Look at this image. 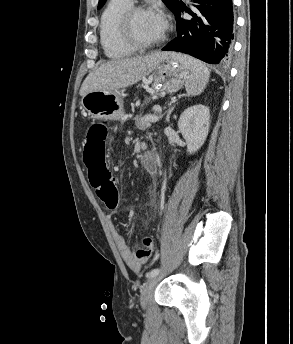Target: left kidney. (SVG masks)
I'll list each match as a JSON object with an SVG mask.
<instances>
[{
  "label": "left kidney",
  "mask_w": 293,
  "mask_h": 344,
  "mask_svg": "<svg viewBox=\"0 0 293 344\" xmlns=\"http://www.w3.org/2000/svg\"><path fill=\"white\" fill-rule=\"evenodd\" d=\"M210 111L198 104L187 108L180 116L178 128L187 143V152L195 153L204 144L209 132Z\"/></svg>",
  "instance_id": "obj_1"
}]
</instances>
